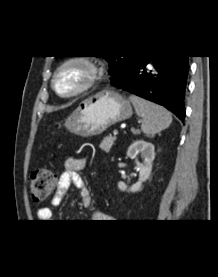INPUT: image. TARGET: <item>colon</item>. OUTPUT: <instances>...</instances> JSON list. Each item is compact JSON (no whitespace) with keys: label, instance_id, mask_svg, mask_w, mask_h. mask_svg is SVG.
<instances>
[{"label":"colon","instance_id":"obj_1","mask_svg":"<svg viewBox=\"0 0 218 277\" xmlns=\"http://www.w3.org/2000/svg\"><path fill=\"white\" fill-rule=\"evenodd\" d=\"M31 194L35 201L47 199L56 185L55 174L46 168H40L32 172L30 177Z\"/></svg>","mask_w":218,"mask_h":277}]
</instances>
